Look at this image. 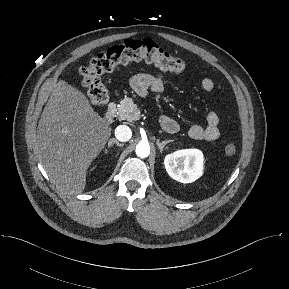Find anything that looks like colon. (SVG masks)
I'll return each mask as SVG.
<instances>
[{
    "instance_id": "obj_1",
    "label": "colon",
    "mask_w": 289,
    "mask_h": 289,
    "mask_svg": "<svg viewBox=\"0 0 289 289\" xmlns=\"http://www.w3.org/2000/svg\"><path fill=\"white\" fill-rule=\"evenodd\" d=\"M132 61H145L174 73H181L186 68L182 58L167 52L150 39L127 40L98 54L88 65L80 69L82 84L87 89L93 105L102 106L108 99V91L102 83L101 76L113 71L119 65ZM224 152L226 155H233L236 146L228 143L224 147Z\"/></svg>"
}]
</instances>
